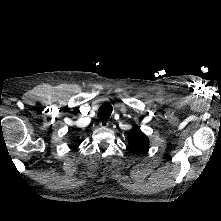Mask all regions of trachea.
<instances>
[{"label":"trachea","instance_id":"obj_1","mask_svg":"<svg viewBox=\"0 0 221 221\" xmlns=\"http://www.w3.org/2000/svg\"><path fill=\"white\" fill-rule=\"evenodd\" d=\"M112 105L109 103H104L100 106L98 110V117L102 120H107L112 113Z\"/></svg>","mask_w":221,"mask_h":221}]
</instances>
